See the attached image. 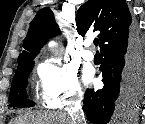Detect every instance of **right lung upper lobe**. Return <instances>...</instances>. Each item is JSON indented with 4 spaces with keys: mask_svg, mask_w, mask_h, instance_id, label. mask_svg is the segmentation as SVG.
Returning a JSON list of instances; mask_svg holds the SVG:
<instances>
[{
    "mask_svg": "<svg viewBox=\"0 0 145 124\" xmlns=\"http://www.w3.org/2000/svg\"><path fill=\"white\" fill-rule=\"evenodd\" d=\"M131 23L125 0H88L77 11L78 33L84 36L90 31H99L100 47L111 37L125 31ZM59 32L52 11L48 7L38 11L23 41L25 50L18 57L17 70L25 64L33 63L32 60L47 39Z\"/></svg>",
    "mask_w": 145,
    "mask_h": 124,
    "instance_id": "cb5924a9",
    "label": "right lung upper lobe"
}]
</instances>
